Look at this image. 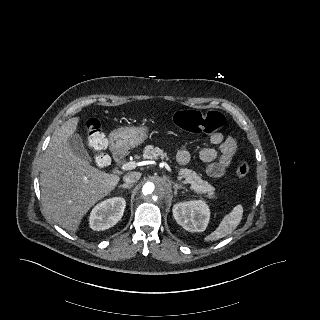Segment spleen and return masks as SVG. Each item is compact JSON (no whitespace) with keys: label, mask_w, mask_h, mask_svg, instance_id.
<instances>
[{"label":"spleen","mask_w":320,"mask_h":320,"mask_svg":"<svg viewBox=\"0 0 320 320\" xmlns=\"http://www.w3.org/2000/svg\"><path fill=\"white\" fill-rule=\"evenodd\" d=\"M243 216V207L236 205L230 213L225 215L214 232L205 237V241H214L231 234L240 224Z\"/></svg>","instance_id":"1"}]
</instances>
